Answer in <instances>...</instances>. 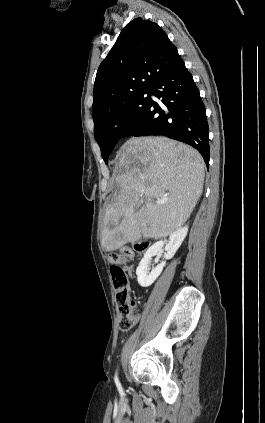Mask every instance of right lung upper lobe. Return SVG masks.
Listing matches in <instances>:
<instances>
[{"label": "right lung upper lobe", "instance_id": "obj_1", "mask_svg": "<svg viewBox=\"0 0 265 423\" xmlns=\"http://www.w3.org/2000/svg\"><path fill=\"white\" fill-rule=\"evenodd\" d=\"M177 54L156 23L141 18L129 22L97 71L93 120L125 98L150 90Z\"/></svg>", "mask_w": 265, "mask_h": 423}]
</instances>
